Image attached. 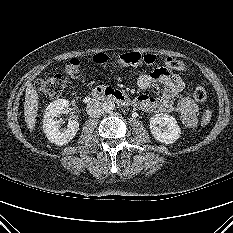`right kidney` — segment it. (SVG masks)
Masks as SVG:
<instances>
[{"instance_id":"ca27d5eb","label":"right kidney","mask_w":233,"mask_h":233,"mask_svg":"<svg viewBox=\"0 0 233 233\" xmlns=\"http://www.w3.org/2000/svg\"><path fill=\"white\" fill-rule=\"evenodd\" d=\"M67 107H69L68 100L58 99L47 106L43 117L44 133L49 141L58 146L69 143L79 130V122L77 120H70L66 130L60 132L59 128L62 120L57 119V117Z\"/></svg>"}]
</instances>
